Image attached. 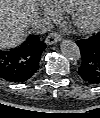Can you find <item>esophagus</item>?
Masks as SVG:
<instances>
[{"label": "esophagus", "mask_w": 100, "mask_h": 118, "mask_svg": "<svg viewBox=\"0 0 100 118\" xmlns=\"http://www.w3.org/2000/svg\"><path fill=\"white\" fill-rule=\"evenodd\" d=\"M60 40H61L60 34L57 33V32H52V33H50V34L46 37L45 43H46L47 45H52V44H54V43L59 42Z\"/></svg>", "instance_id": "esophagus-1"}]
</instances>
